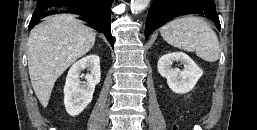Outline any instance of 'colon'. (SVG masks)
<instances>
[{
    "instance_id": "obj_1",
    "label": "colon",
    "mask_w": 257,
    "mask_h": 130,
    "mask_svg": "<svg viewBox=\"0 0 257 130\" xmlns=\"http://www.w3.org/2000/svg\"><path fill=\"white\" fill-rule=\"evenodd\" d=\"M180 126L179 124L174 125L173 130H179Z\"/></svg>"
}]
</instances>
